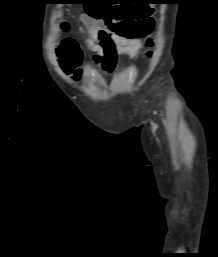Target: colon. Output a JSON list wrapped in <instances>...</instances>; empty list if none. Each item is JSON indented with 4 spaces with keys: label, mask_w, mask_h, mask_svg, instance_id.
<instances>
[{
    "label": "colon",
    "mask_w": 218,
    "mask_h": 257,
    "mask_svg": "<svg viewBox=\"0 0 218 257\" xmlns=\"http://www.w3.org/2000/svg\"><path fill=\"white\" fill-rule=\"evenodd\" d=\"M81 10H88L91 17L103 19L112 31L128 38L146 37L155 25L152 5H81ZM148 45H153L152 39L148 40ZM60 56L67 68L80 65L83 59L81 48L71 38L63 41ZM145 57H151V50ZM93 66L101 67L102 64Z\"/></svg>",
    "instance_id": "obj_1"
}]
</instances>
